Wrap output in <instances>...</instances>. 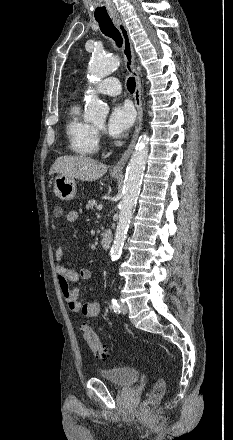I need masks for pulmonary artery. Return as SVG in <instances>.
Instances as JSON below:
<instances>
[{"mask_svg": "<svg viewBox=\"0 0 233 440\" xmlns=\"http://www.w3.org/2000/svg\"><path fill=\"white\" fill-rule=\"evenodd\" d=\"M94 91L109 96H116L121 92L120 82L115 77L106 78L94 87Z\"/></svg>", "mask_w": 233, "mask_h": 440, "instance_id": "obj_1", "label": "pulmonary artery"}]
</instances>
